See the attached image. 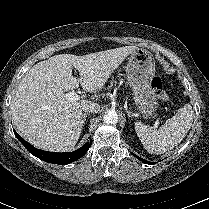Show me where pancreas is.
Listing matches in <instances>:
<instances>
[{
    "instance_id": "1",
    "label": "pancreas",
    "mask_w": 209,
    "mask_h": 209,
    "mask_svg": "<svg viewBox=\"0 0 209 209\" xmlns=\"http://www.w3.org/2000/svg\"><path fill=\"white\" fill-rule=\"evenodd\" d=\"M115 83H116V80H112V81L110 82V86L108 87V89H110Z\"/></svg>"
}]
</instances>
